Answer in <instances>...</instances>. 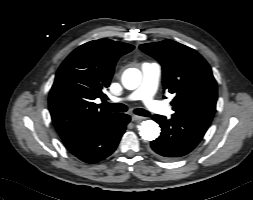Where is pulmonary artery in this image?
Listing matches in <instances>:
<instances>
[{
  "mask_svg": "<svg viewBox=\"0 0 253 200\" xmlns=\"http://www.w3.org/2000/svg\"><path fill=\"white\" fill-rule=\"evenodd\" d=\"M142 74L143 79L138 89L125 98H113L112 101L141 100L149 110L163 115H170L172 113L170 107L154 98L161 75V67L157 63H143Z\"/></svg>",
  "mask_w": 253,
  "mask_h": 200,
  "instance_id": "obj_1",
  "label": "pulmonary artery"
}]
</instances>
